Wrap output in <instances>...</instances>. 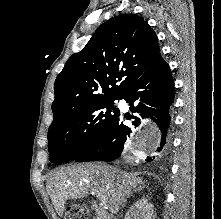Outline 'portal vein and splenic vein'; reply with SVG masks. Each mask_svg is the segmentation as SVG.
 Masks as SVG:
<instances>
[{
    "mask_svg": "<svg viewBox=\"0 0 221 219\" xmlns=\"http://www.w3.org/2000/svg\"><path fill=\"white\" fill-rule=\"evenodd\" d=\"M98 197H99V196H98ZM101 204H105V202L101 200Z\"/></svg>",
    "mask_w": 221,
    "mask_h": 219,
    "instance_id": "obj_1",
    "label": "portal vein and splenic vein"
}]
</instances>
